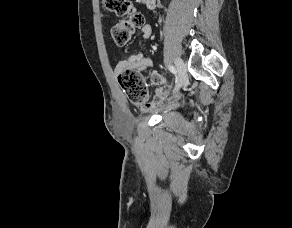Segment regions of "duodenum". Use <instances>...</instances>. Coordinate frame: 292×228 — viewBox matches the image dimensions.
I'll use <instances>...</instances> for the list:
<instances>
[{
    "label": "duodenum",
    "instance_id": "obj_1",
    "mask_svg": "<svg viewBox=\"0 0 292 228\" xmlns=\"http://www.w3.org/2000/svg\"><path fill=\"white\" fill-rule=\"evenodd\" d=\"M142 1L143 3H145V5L149 8V9H152L155 7L156 5V0H140Z\"/></svg>",
    "mask_w": 292,
    "mask_h": 228
}]
</instances>
